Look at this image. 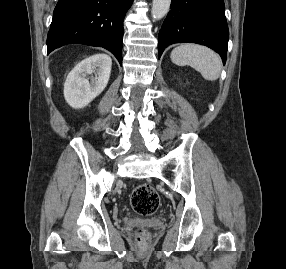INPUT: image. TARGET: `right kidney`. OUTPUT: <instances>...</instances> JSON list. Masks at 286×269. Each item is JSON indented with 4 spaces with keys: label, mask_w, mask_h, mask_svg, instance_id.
Instances as JSON below:
<instances>
[{
    "label": "right kidney",
    "mask_w": 286,
    "mask_h": 269,
    "mask_svg": "<svg viewBox=\"0 0 286 269\" xmlns=\"http://www.w3.org/2000/svg\"><path fill=\"white\" fill-rule=\"evenodd\" d=\"M111 66L112 60L105 54H95L78 63L64 83L66 102L75 109L86 107L107 86Z\"/></svg>",
    "instance_id": "1"
}]
</instances>
